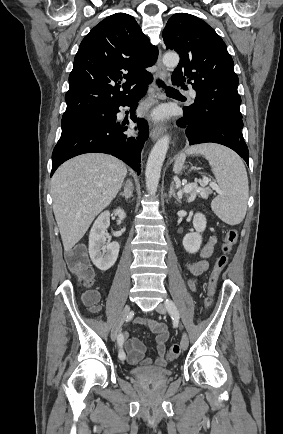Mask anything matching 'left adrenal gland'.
Returning a JSON list of instances; mask_svg holds the SVG:
<instances>
[{"label": "left adrenal gland", "instance_id": "obj_1", "mask_svg": "<svg viewBox=\"0 0 283 434\" xmlns=\"http://www.w3.org/2000/svg\"><path fill=\"white\" fill-rule=\"evenodd\" d=\"M174 186L175 185H174V181H173L171 183L170 190H169V198L173 197V198H175L177 200V202L181 203L182 202L181 201V197L176 195V192L174 190Z\"/></svg>", "mask_w": 283, "mask_h": 434}]
</instances>
